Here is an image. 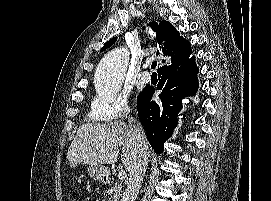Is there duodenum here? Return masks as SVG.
Here are the masks:
<instances>
[{
    "mask_svg": "<svg viewBox=\"0 0 271 201\" xmlns=\"http://www.w3.org/2000/svg\"><path fill=\"white\" fill-rule=\"evenodd\" d=\"M103 180H104L105 182H109V181H110V176H109L108 173L105 174V176L103 177Z\"/></svg>",
    "mask_w": 271,
    "mask_h": 201,
    "instance_id": "obj_1",
    "label": "duodenum"
}]
</instances>
